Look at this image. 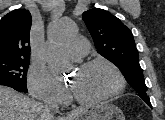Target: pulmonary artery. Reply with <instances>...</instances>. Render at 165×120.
Wrapping results in <instances>:
<instances>
[{
  "label": "pulmonary artery",
  "instance_id": "e3ab8cb5",
  "mask_svg": "<svg viewBox=\"0 0 165 120\" xmlns=\"http://www.w3.org/2000/svg\"><path fill=\"white\" fill-rule=\"evenodd\" d=\"M88 49V43L83 39L77 38L64 45L61 51L67 56L82 57L88 52Z\"/></svg>",
  "mask_w": 165,
  "mask_h": 120
}]
</instances>
